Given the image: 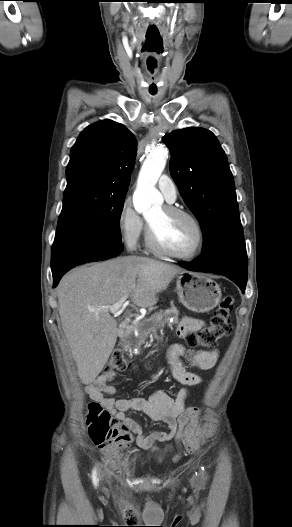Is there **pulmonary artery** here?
<instances>
[{
    "label": "pulmonary artery",
    "mask_w": 292,
    "mask_h": 527,
    "mask_svg": "<svg viewBox=\"0 0 292 527\" xmlns=\"http://www.w3.org/2000/svg\"><path fill=\"white\" fill-rule=\"evenodd\" d=\"M158 188L162 192L164 198L168 202H174L177 197V188L173 180L167 176L162 175L158 180Z\"/></svg>",
    "instance_id": "1"
}]
</instances>
